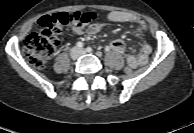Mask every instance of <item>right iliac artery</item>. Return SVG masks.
<instances>
[{
	"label": "right iliac artery",
	"instance_id": "right-iliac-artery-1",
	"mask_svg": "<svg viewBox=\"0 0 194 133\" xmlns=\"http://www.w3.org/2000/svg\"><path fill=\"white\" fill-rule=\"evenodd\" d=\"M76 46H77L78 48H82V47H83V43H82V42H77Z\"/></svg>",
	"mask_w": 194,
	"mask_h": 133
}]
</instances>
